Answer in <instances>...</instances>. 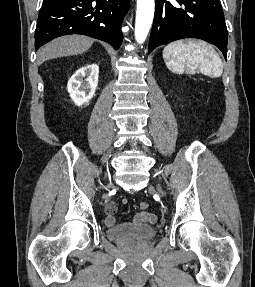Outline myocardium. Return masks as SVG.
I'll return each instance as SVG.
<instances>
[{
    "label": "myocardium",
    "mask_w": 255,
    "mask_h": 287,
    "mask_svg": "<svg viewBox=\"0 0 255 287\" xmlns=\"http://www.w3.org/2000/svg\"><path fill=\"white\" fill-rule=\"evenodd\" d=\"M146 48H165V47H146Z\"/></svg>",
    "instance_id": "myocardium-1"
}]
</instances>
